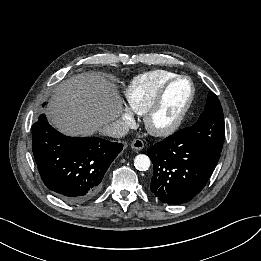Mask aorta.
I'll return each mask as SVG.
<instances>
[{
	"label": "aorta",
	"mask_w": 261,
	"mask_h": 261,
	"mask_svg": "<svg viewBox=\"0 0 261 261\" xmlns=\"http://www.w3.org/2000/svg\"><path fill=\"white\" fill-rule=\"evenodd\" d=\"M151 161L147 155L139 154L134 159V166L137 170L145 171L150 167Z\"/></svg>",
	"instance_id": "1"
}]
</instances>
